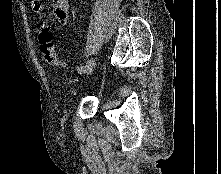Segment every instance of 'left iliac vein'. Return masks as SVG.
Listing matches in <instances>:
<instances>
[{"label": "left iliac vein", "instance_id": "obj_1", "mask_svg": "<svg viewBox=\"0 0 221 174\" xmlns=\"http://www.w3.org/2000/svg\"><path fill=\"white\" fill-rule=\"evenodd\" d=\"M95 64H96V60H95L94 58H91V59L87 62L83 73H84L85 75L91 74V73L93 72V69H94V67H95Z\"/></svg>", "mask_w": 221, "mask_h": 174}]
</instances>
